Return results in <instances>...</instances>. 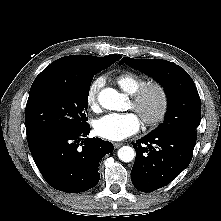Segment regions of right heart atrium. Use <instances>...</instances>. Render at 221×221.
<instances>
[{"mask_svg": "<svg viewBox=\"0 0 221 221\" xmlns=\"http://www.w3.org/2000/svg\"><path fill=\"white\" fill-rule=\"evenodd\" d=\"M103 85H104V79L100 77L93 80L88 86L86 92V103L88 107L92 110H97L99 107L98 96Z\"/></svg>", "mask_w": 221, "mask_h": 221, "instance_id": "obj_1", "label": "right heart atrium"}]
</instances>
